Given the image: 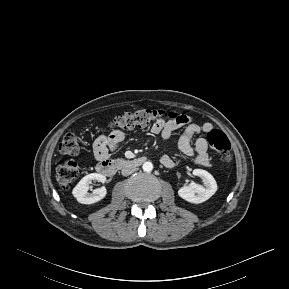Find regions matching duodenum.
I'll list each match as a JSON object with an SVG mask.
<instances>
[{"mask_svg":"<svg viewBox=\"0 0 289 289\" xmlns=\"http://www.w3.org/2000/svg\"><path fill=\"white\" fill-rule=\"evenodd\" d=\"M147 157L139 156L131 159H103L98 162L96 166L97 172L100 174L111 177L116 174L117 171L125 168L139 167L147 161Z\"/></svg>","mask_w":289,"mask_h":289,"instance_id":"410a0bca","label":"duodenum"}]
</instances>
